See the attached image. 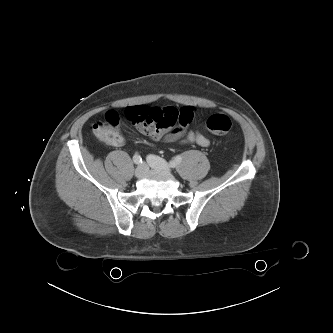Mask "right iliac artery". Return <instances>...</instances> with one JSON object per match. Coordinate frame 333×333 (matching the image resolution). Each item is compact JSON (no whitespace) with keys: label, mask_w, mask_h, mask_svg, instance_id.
<instances>
[{"label":"right iliac artery","mask_w":333,"mask_h":333,"mask_svg":"<svg viewBox=\"0 0 333 333\" xmlns=\"http://www.w3.org/2000/svg\"><path fill=\"white\" fill-rule=\"evenodd\" d=\"M133 161H134L135 164H142L143 163L142 158L138 154H135L133 156Z\"/></svg>","instance_id":"right-iliac-artery-1"}]
</instances>
